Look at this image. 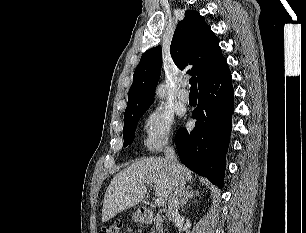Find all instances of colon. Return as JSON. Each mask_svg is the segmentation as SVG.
I'll return each instance as SVG.
<instances>
[{
	"instance_id": "colon-1",
	"label": "colon",
	"mask_w": 306,
	"mask_h": 233,
	"mask_svg": "<svg viewBox=\"0 0 306 233\" xmlns=\"http://www.w3.org/2000/svg\"><path fill=\"white\" fill-rule=\"evenodd\" d=\"M121 229H122V222L116 221L102 226L100 228L99 233H120Z\"/></svg>"
}]
</instances>
